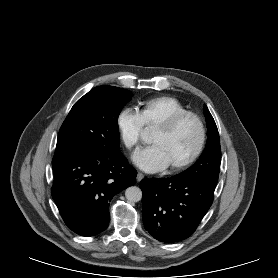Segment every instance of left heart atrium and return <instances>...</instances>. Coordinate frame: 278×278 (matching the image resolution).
<instances>
[{
    "label": "left heart atrium",
    "instance_id": "39dd6f15",
    "mask_svg": "<svg viewBox=\"0 0 278 278\" xmlns=\"http://www.w3.org/2000/svg\"><path fill=\"white\" fill-rule=\"evenodd\" d=\"M133 161L140 169L149 173L162 171L169 166L162 148L156 144L136 151Z\"/></svg>",
    "mask_w": 278,
    "mask_h": 278
}]
</instances>
